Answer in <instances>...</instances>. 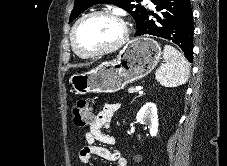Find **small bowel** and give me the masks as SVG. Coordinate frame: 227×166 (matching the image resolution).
Wrapping results in <instances>:
<instances>
[{
    "label": "small bowel",
    "instance_id": "1",
    "mask_svg": "<svg viewBox=\"0 0 227 166\" xmlns=\"http://www.w3.org/2000/svg\"><path fill=\"white\" fill-rule=\"evenodd\" d=\"M118 109V104H105L94 115L90 129L84 135L85 146L79 154V159L85 166H91L93 156H99L105 160L113 161L117 166H126V160L119 152L111 151L104 146L97 145L98 143L104 145H112L114 143V138L106 134L103 130L109 128L111 119Z\"/></svg>",
    "mask_w": 227,
    "mask_h": 166
}]
</instances>
